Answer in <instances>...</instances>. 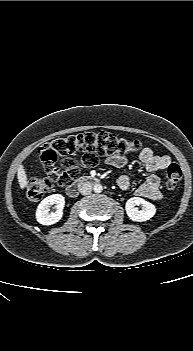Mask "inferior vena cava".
Listing matches in <instances>:
<instances>
[{"mask_svg":"<svg viewBox=\"0 0 193 351\" xmlns=\"http://www.w3.org/2000/svg\"><path fill=\"white\" fill-rule=\"evenodd\" d=\"M79 191L82 195H88L92 191V186L90 183L85 182L80 186Z\"/></svg>","mask_w":193,"mask_h":351,"instance_id":"obj_1","label":"inferior vena cava"}]
</instances>
